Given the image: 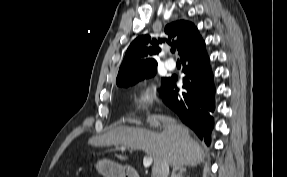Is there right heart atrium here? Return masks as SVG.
<instances>
[{
  "instance_id": "1",
  "label": "right heart atrium",
  "mask_w": 287,
  "mask_h": 177,
  "mask_svg": "<svg viewBox=\"0 0 287 177\" xmlns=\"http://www.w3.org/2000/svg\"><path fill=\"white\" fill-rule=\"evenodd\" d=\"M157 99V89L154 84L144 85L138 90L134 97L136 107L145 109L151 106Z\"/></svg>"
}]
</instances>
